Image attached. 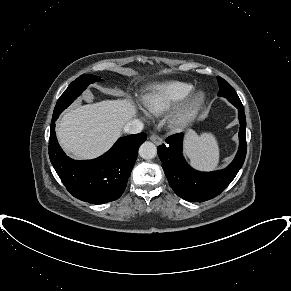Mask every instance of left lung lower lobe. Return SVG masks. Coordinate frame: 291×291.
Wrapping results in <instances>:
<instances>
[{"instance_id": "1", "label": "left lung lower lobe", "mask_w": 291, "mask_h": 291, "mask_svg": "<svg viewBox=\"0 0 291 291\" xmlns=\"http://www.w3.org/2000/svg\"><path fill=\"white\" fill-rule=\"evenodd\" d=\"M239 111V149L233 162L225 169L200 172L190 167L182 155L183 134L167 138L158 147V155L170 187L182 199L203 202L220 194L235 178L246 157V118L241 102L233 104Z\"/></svg>"}]
</instances>
